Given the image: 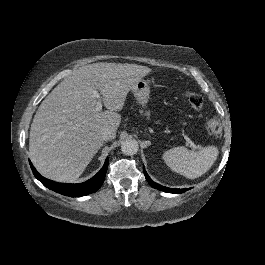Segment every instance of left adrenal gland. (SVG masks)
Segmentation results:
<instances>
[{
	"label": "left adrenal gland",
	"instance_id": "a2214340",
	"mask_svg": "<svg viewBox=\"0 0 265 265\" xmlns=\"http://www.w3.org/2000/svg\"><path fill=\"white\" fill-rule=\"evenodd\" d=\"M146 135L148 136L149 139L153 140L152 136L148 132H146Z\"/></svg>",
	"mask_w": 265,
	"mask_h": 265
}]
</instances>
